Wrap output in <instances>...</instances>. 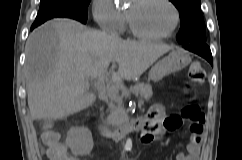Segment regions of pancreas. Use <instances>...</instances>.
I'll return each mask as SVG.
<instances>
[{
    "mask_svg": "<svg viewBox=\"0 0 242 160\" xmlns=\"http://www.w3.org/2000/svg\"><path fill=\"white\" fill-rule=\"evenodd\" d=\"M130 92L135 95H140L146 101L152 97V87L150 84L138 83L135 87L130 89ZM128 118L125 115L122 97L113 99L110 104V114L107 117V123L113 127H117L127 122Z\"/></svg>",
    "mask_w": 242,
    "mask_h": 160,
    "instance_id": "cf45deb5",
    "label": "pancreas"
}]
</instances>
